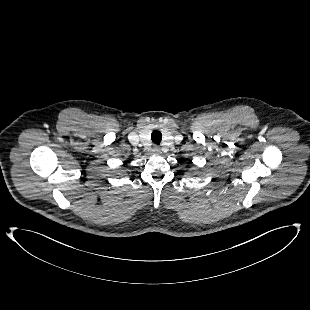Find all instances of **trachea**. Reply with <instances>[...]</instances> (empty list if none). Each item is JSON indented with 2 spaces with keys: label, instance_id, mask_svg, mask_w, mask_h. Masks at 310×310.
Masks as SVG:
<instances>
[{
  "label": "trachea",
  "instance_id": "trachea-1",
  "mask_svg": "<svg viewBox=\"0 0 310 310\" xmlns=\"http://www.w3.org/2000/svg\"><path fill=\"white\" fill-rule=\"evenodd\" d=\"M151 140L153 141V143L155 144H160L161 140H162V134L160 131L154 130L151 134Z\"/></svg>",
  "mask_w": 310,
  "mask_h": 310
}]
</instances>
